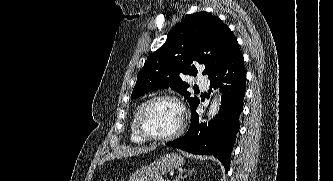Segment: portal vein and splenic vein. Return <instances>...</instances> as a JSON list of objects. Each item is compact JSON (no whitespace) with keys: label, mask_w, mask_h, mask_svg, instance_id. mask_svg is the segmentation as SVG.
Returning <instances> with one entry per match:
<instances>
[{"label":"portal vein and splenic vein","mask_w":333,"mask_h":181,"mask_svg":"<svg viewBox=\"0 0 333 181\" xmlns=\"http://www.w3.org/2000/svg\"><path fill=\"white\" fill-rule=\"evenodd\" d=\"M159 181H164L163 179H160Z\"/></svg>","instance_id":"obj_1"}]
</instances>
